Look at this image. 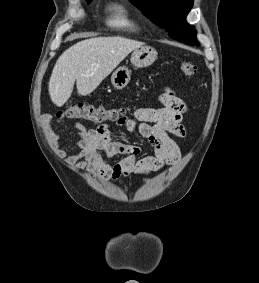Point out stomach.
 I'll use <instances>...</instances> for the list:
<instances>
[{
	"label": "stomach",
	"mask_w": 259,
	"mask_h": 283,
	"mask_svg": "<svg viewBox=\"0 0 259 283\" xmlns=\"http://www.w3.org/2000/svg\"><path fill=\"white\" fill-rule=\"evenodd\" d=\"M157 58V51L150 46H142L135 49L131 55V63L137 68L150 66ZM131 79V72L125 66L117 68L111 76L114 88H124Z\"/></svg>",
	"instance_id": "1"
}]
</instances>
